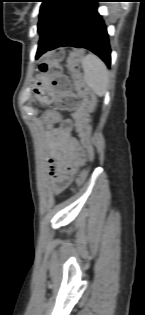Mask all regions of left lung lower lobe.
Instances as JSON below:
<instances>
[{
  "label": "left lung lower lobe",
  "mask_w": 145,
  "mask_h": 315,
  "mask_svg": "<svg viewBox=\"0 0 145 315\" xmlns=\"http://www.w3.org/2000/svg\"><path fill=\"white\" fill-rule=\"evenodd\" d=\"M98 2L100 0H73L39 41L36 58L61 46L82 47L98 55L110 67L109 36L97 12Z\"/></svg>",
  "instance_id": "left-lung-lower-lobe-1"
}]
</instances>
